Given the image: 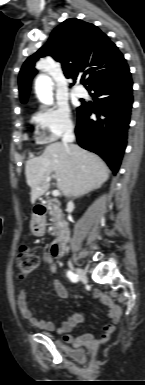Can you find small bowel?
<instances>
[{
    "label": "small bowel",
    "instance_id": "1",
    "mask_svg": "<svg viewBox=\"0 0 145 385\" xmlns=\"http://www.w3.org/2000/svg\"><path fill=\"white\" fill-rule=\"evenodd\" d=\"M54 257L55 256H53L50 252H44L42 254L43 262L49 265V271L53 275L57 272V265L54 261ZM53 287L59 299L67 298L68 291L59 279H53ZM93 298L99 300L102 304L108 307L107 317L112 321L111 324L104 326L103 334L100 337H96L93 332L82 334L76 338L71 335L73 328L84 320V314L82 312L69 315L60 326H56L53 321H47L35 317L28 305L27 292L23 288L18 293L16 304L21 316L25 320L39 329L63 335L64 341L67 344H71L77 351L80 347L100 346L106 343L115 331L114 323H117L121 316L120 305L114 303L108 295H105L100 291H94Z\"/></svg>",
    "mask_w": 145,
    "mask_h": 385
}]
</instances>
